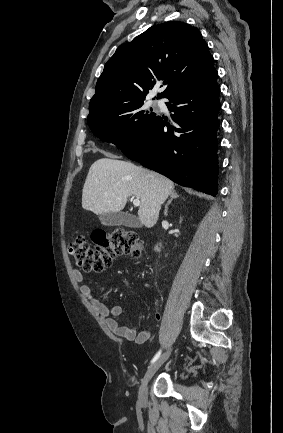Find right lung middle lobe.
<instances>
[{
    "label": "right lung middle lobe",
    "mask_w": 283,
    "mask_h": 433,
    "mask_svg": "<svg viewBox=\"0 0 283 433\" xmlns=\"http://www.w3.org/2000/svg\"><path fill=\"white\" fill-rule=\"evenodd\" d=\"M157 114L144 108V100L110 107L87 117L93 134L122 152L135 144Z\"/></svg>",
    "instance_id": "right-lung-middle-lobe-1"
}]
</instances>
